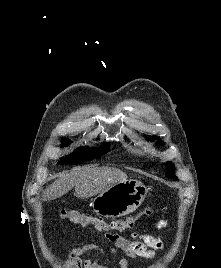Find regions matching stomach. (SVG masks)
Masks as SVG:
<instances>
[{"mask_svg":"<svg viewBox=\"0 0 221 268\" xmlns=\"http://www.w3.org/2000/svg\"><path fill=\"white\" fill-rule=\"evenodd\" d=\"M147 193V187L140 181L126 180L99 193L92 201V208L102 217H122L135 211Z\"/></svg>","mask_w":221,"mask_h":268,"instance_id":"1","label":"stomach"}]
</instances>
